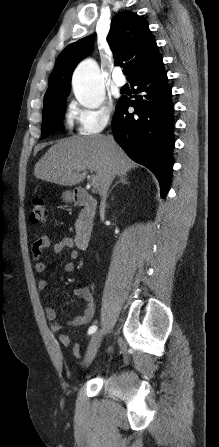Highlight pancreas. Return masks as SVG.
Returning a JSON list of instances; mask_svg holds the SVG:
<instances>
[{"label": "pancreas", "mask_w": 219, "mask_h": 447, "mask_svg": "<svg viewBox=\"0 0 219 447\" xmlns=\"http://www.w3.org/2000/svg\"><path fill=\"white\" fill-rule=\"evenodd\" d=\"M80 224H81L80 219H78V220L76 221V223H75L76 229L79 228Z\"/></svg>", "instance_id": "obj_1"}]
</instances>
